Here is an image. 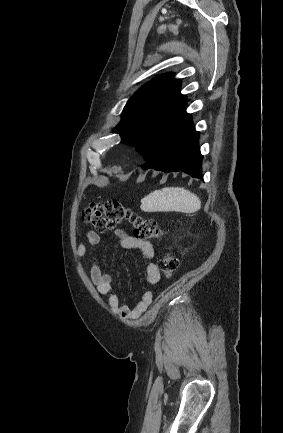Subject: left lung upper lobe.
<instances>
[{"label":"left lung upper lobe","mask_w":283,"mask_h":433,"mask_svg":"<svg viewBox=\"0 0 283 433\" xmlns=\"http://www.w3.org/2000/svg\"><path fill=\"white\" fill-rule=\"evenodd\" d=\"M180 81L173 74L157 76L141 87L127 102L121 122L115 128L123 143L139 152L152 128L171 126L179 129L191 119L186 113V98L181 95Z\"/></svg>","instance_id":"obj_1"}]
</instances>
